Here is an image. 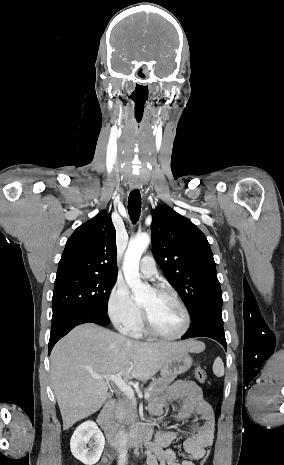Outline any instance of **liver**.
<instances>
[{
  "label": "liver",
  "mask_w": 284,
  "mask_h": 465,
  "mask_svg": "<svg viewBox=\"0 0 284 465\" xmlns=\"http://www.w3.org/2000/svg\"><path fill=\"white\" fill-rule=\"evenodd\" d=\"M201 341L140 343L94 323L79 325L55 345L51 353V381L67 431L101 409L108 385L91 375L122 373L125 381H148L175 353H202Z\"/></svg>",
  "instance_id": "1"
}]
</instances>
